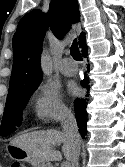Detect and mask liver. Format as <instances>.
<instances>
[{"label": "liver", "mask_w": 125, "mask_h": 167, "mask_svg": "<svg viewBox=\"0 0 125 167\" xmlns=\"http://www.w3.org/2000/svg\"><path fill=\"white\" fill-rule=\"evenodd\" d=\"M63 144L62 151L67 160L70 161L72 155V143L65 134L58 130H42L24 133L11 141V145L18 146L34 157L46 162L60 161L61 152L54 150L56 145Z\"/></svg>", "instance_id": "obj_1"}]
</instances>
